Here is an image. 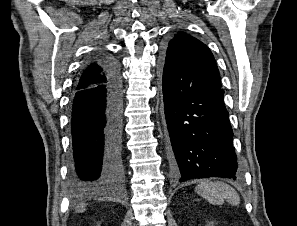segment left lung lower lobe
<instances>
[{
	"label": "left lung lower lobe",
	"instance_id": "left-lung-lower-lobe-1",
	"mask_svg": "<svg viewBox=\"0 0 297 226\" xmlns=\"http://www.w3.org/2000/svg\"><path fill=\"white\" fill-rule=\"evenodd\" d=\"M165 119L180 182L239 176L233 132L220 87L195 90L163 71Z\"/></svg>",
	"mask_w": 297,
	"mask_h": 226
}]
</instances>
